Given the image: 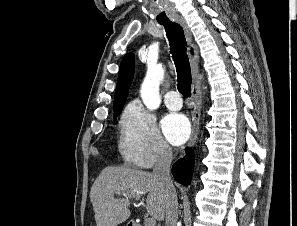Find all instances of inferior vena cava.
I'll use <instances>...</instances> for the list:
<instances>
[{"label": "inferior vena cava", "instance_id": "inferior-vena-cava-1", "mask_svg": "<svg viewBox=\"0 0 297 226\" xmlns=\"http://www.w3.org/2000/svg\"><path fill=\"white\" fill-rule=\"evenodd\" d=\"M172 149L167 144L160 146L153 167V176L158 178L166 190L165 226H176L178 220V199L170 177Z\"/></svg>", "mask_w": 297, "mask_h": 226}]
</instances>
